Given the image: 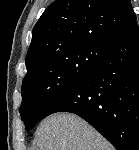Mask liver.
I'll list each match as a JSON object with an SVG mask.
<instances>
[{
    "label": "liver",
    "mask_w": 139,
    "mask_h": 150,
    "mask_svg": "<svg viewBox=\"0 0 139 150\" xmlns=\"http://www.w3.org/2000/svg\"><path fill=\"white\" fill-rule=\"evenodd\" d=\"M35 137L36 150H113L94 128L70 113H57L44 119Z\"/></svg>",
    "instance_id": "6515ba94"
}]
</instances>
